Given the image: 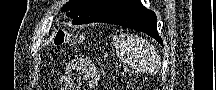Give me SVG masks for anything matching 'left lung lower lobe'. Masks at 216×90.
Masks as SVG:
<instances>
[{"instance_id":"left-lung-lower-lobe-1","label":"left lung lower lobe","mask_w":216,"mask_h":90,"mask_svg":"<svg viewBox=\"0 0 216 90\" xmlns=\"http://www.w3.org/2000/svg\"><path fill=\"white\" fill-rule=\"evenodd\" d=\"M94 22L110 23L136 29L148 34L163 45L157 32L155 13L146 9L139 0H130L125 5L106 13Z\"/></svg>"}]
</instances>
